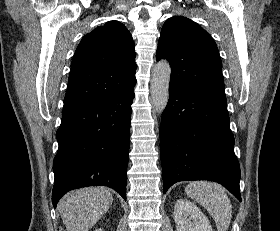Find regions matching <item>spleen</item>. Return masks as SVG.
Returning <instances> with one entry per match:
<instances>
[{"mask_svg": "<svg viewBox=\"0 0 280 231\" xmlns=\"http://www.w3.org/2000/svg\"><path fill=\"white\" fill-rule=\"evenodd\" d=\"M185 191L209 211L218 231H227L232 217V205L221 185L211 181H191L186 185Z\"/></svg>", "mask_w": 280, "mask_h": 231, "instance_id": "3e777b00", "label": "spleen"}]
</instances>
